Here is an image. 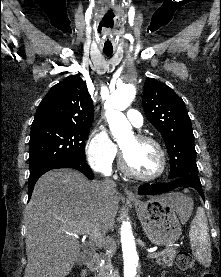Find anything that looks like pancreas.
Instances as JSON below:
<instances>
[{"instance_id":"obj_1","label":"pancreas","mask_w":221,"mask_h":277,"mask_svg":"<svg viewBox=\"0 0 221 277\" xmlns=\"http://www.w3.org/2000/svg\"><path fill=\"white\" fill-rule=\"evenodd\" d=\"M107 248L110 250V253L106 257V262L102 265V267L99 268L97 277H114L111 272L113 268L111 263V256L114 252V245L112 243H109L107 245ZM176 253V250L170 248L169 250L163 252V254L157 256L156 263L159 265H163L164 267H171L174 264Z\"/></svg>"}]
</instances>
